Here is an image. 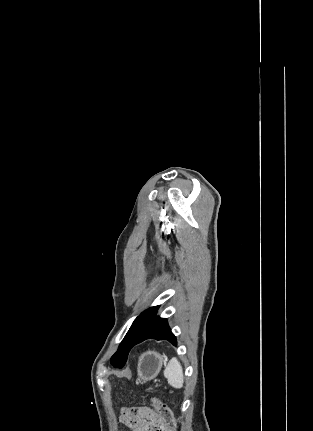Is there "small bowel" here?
<instances>
[{
	"label": "small bowel",
	"instance_id": "c3829d8e",
	"mask_svg": "<svg viewBox=\"0 0 313 431\" xmlns=\"http://www.w3.org/2000/svg\"><path fill=\"white\" fill-rule=\"evenodd\" d=\"M121 420L132 431H155L158 416L147 407L127 408L122 411Z\"/></svg>",
	"mask_w": 313,
	"mask_h": 431
}]
</instances>
